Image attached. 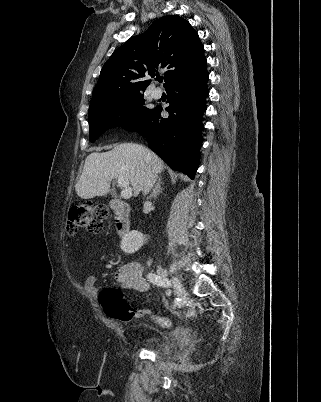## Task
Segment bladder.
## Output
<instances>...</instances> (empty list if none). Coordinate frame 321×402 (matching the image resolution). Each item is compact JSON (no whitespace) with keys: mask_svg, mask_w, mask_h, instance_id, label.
<instances>
[{"mask_svg":"<svg viewBox=\"0 0 321 402\" xmlns=\"http://www.w3.org/2000/svg\"><path fill=\"white\" fill-rule=\"evenodd\" d=\"M172 350H173V348L162 349V351H163L164 353H171Z\"/></svg>","mask_w":321,"mask_h":402,"instance_id":"31cf9c89","label":"bladder"}]
</instances>
